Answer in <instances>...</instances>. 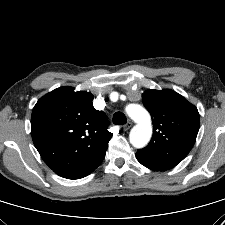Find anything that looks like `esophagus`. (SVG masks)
Returning a JSON list of instances; mask_svg holds the SVG:
<instances>
[{"label":"esophagus","instance_id":"1","mask_svg":"<svg viewBox=\"0 0 225 225\" xmlns=\"http://www.w3.org/2000/svg\"><path fill=\"white\" fill-rule=\"evenodd\" d=\"M131 127H132V123H131V122H127V123L123 126V129H124L125 131H128Z\"/></svg>","mask_w":225,"mask_h":225}]
</instances>
